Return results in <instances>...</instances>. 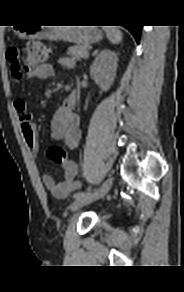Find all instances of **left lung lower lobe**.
<instances>
[{
	"label": "left lung lower lobe",
	"instance_id": "obj_1",
	"mask_svg": "<svg viewBox=\"0 0 184 292\" xmlns=\"http://www.w3.org/2000/svg\"><path fill=\"white\" fill-rule=\"evenodd\" d=\"M124 27H126L132 33V35L135 37L137 43H139V38H140L142 26L132 25V26H124Z\"/></svg>",
	"mask_w": 184,
	"mask_h": 292
}]
</instances>
